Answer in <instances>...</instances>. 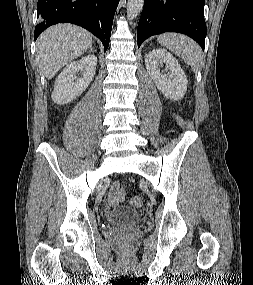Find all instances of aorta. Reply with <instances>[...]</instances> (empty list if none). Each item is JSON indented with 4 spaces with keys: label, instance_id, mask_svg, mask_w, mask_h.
I'll list each match as a JSON object with an SVG mask.
<instances>
[{
    "label": "aorta",
    "instance_id": "aorta-1",
    "mask_svg": "<svg viewBox=\"0 0 253 285\" xmlns=\"http://www.w3.org/2000/svg\"><path fill=\"white\" fill-rule=\"evenodd\" d=\"M144 0H128L127 2V18L132 20L136 18L143 9Z\"/></svg>",
    "mask_w": 253,
    "mask_h": 285
}]
</instances>
